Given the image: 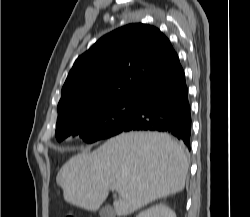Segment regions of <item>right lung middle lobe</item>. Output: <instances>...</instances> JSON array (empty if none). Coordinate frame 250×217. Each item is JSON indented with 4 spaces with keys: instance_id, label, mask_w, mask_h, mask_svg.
Segmentation results:
<instances>
[{
    "instance_id": "obj_1",
    "label": "right lung middle lobe",
    "mask_w": 250,
    "mask_h": 217,
    "mask_svg": "<svg viewBox=\"0 0 250 217\" xmlns=\"http://www.w3.org/2000/svg\"><path fill=\"white\" fill-rule=\"evenodd\" d=\"M134 99L110 101L77 112L57 123L56 138L79 136L87 143L119 134L130 123Z\"/></svg>"
}]
</instances>
